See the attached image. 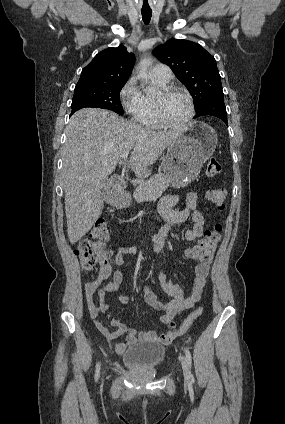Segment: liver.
<instances>
[{
    "label": "liver",
    "mask_w": 285,
    "mask_h": 424,
    "mask_svg": "<svg viewBox=\"0 0 285 424\" xmlns=\"http://www.w3.org/2000/svg\"><path fill=\"white\" fill-rule=\"evenodd\" d=\"M179 131H151L104 109L84 108L70 119L63 147L62 184L67 232L71 244L81 239L100 217L104 200L101 183L119 165L138 177L180 135ZM129 161L121 155L130 152Z\"/></svg>",
    "instance_id": "6515ba94"
}]
</instances>
